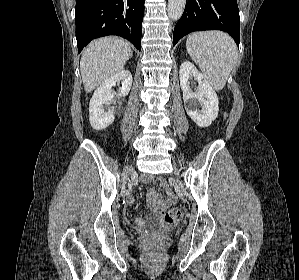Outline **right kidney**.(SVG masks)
I'll return each instance as SVG.
<instances>
[{"mask_svg": "<svg viewBox=\"0 0 299 280\" xmlns=\"http://www.w3.org/2000/svg\"><path fill=\"white\" fill-rule=\"evenodd\" d=\"M132 81L131 73L128 70H122L105 80L96 89L89 103V121L93 129L103 130L114 122V107H108L115 95L112 87L121 82L122 87L118 95L125 97L131 89Z\"/></svg>", "mask_w": 299, "mask_h": 280, "instance_id": "ca27d5eb", "label": "right kidney"}]
</instances>
